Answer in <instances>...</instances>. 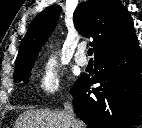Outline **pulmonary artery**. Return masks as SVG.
Listing matches in <instances>:
<instances>
[{
	"label": "pulmonary artery",
	"mask_w": 142,
	"mask_h": 128,
	"mask_svg": "<svg viewBox=\"0 0 142 128\" xmlns=\"http://www.w3.org/2000/svg\"><path fill=\"white\" fill-rule=\"evenodd\" d=\"M84 50H85V47L83 45H79L75 53V61L81 67H85L88 63Z\"/></svg>",
	"instance_id": "pulmonary-artery-1"
}]
</instances>
